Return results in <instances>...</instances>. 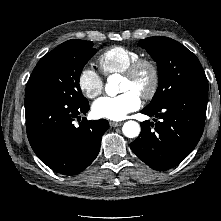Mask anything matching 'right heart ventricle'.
I'll use <instances>...</instances> for the list:
<instances>
[{
	"label": "right heart ventricle",
	"instance_id": "right-heart-ventricle-1",
	"mask_svg": "<svg viewBox=\"0 0 221 221\" xmlns=\"http://www.w3.org/2000/svg\"><path fill=\"white\" fill-rule=\"evenodd\" d=\"M140 58V53L125 46H112L103 51L98 62L104 74H122L131 63Z\"/></svg>",
	"mask_w": 221,
	"mask_h": 221
}]
</instances>
